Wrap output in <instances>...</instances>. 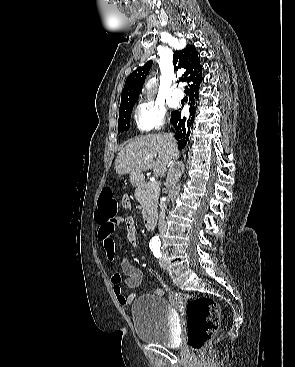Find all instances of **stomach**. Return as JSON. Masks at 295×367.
I'll return each instance as SVG.
<instances>
[{
  "label": "stomach",
  "instance_id": "stomach-1",
  "mask_svg": "<svg viewBox=\"0 0 295 367\" xmlns=\"http://www.w3.org/2000/svg\"><path fill=\"white\" fill-rule=\"evenodd\" d=\"M130 182L133 186L138 187L143 184L144 176L142 174H130Z\"/></svg>",
  "mask_w": 295,
  "mask_h": 367
}]
</instances>
